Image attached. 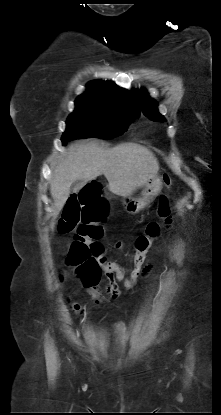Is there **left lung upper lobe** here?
Instances as JSON below:
<instances>
[{"mask_svg":"<svg viewBox=\"0 0 221 415\" xmlns=\"http://www.w3.org/2000/svg\"><path fill=\"white\" fill-rule=\"evenodd\" d=\"M134 98L137 100L143 113L153 121L165 122V118L159 114L157 103L151 99L145 90H132Z\"/></svg>","mask_w":221,"mask_h":415,"instance_id":"obj_1","label":"left lung upper lobe"}]
</instances>
